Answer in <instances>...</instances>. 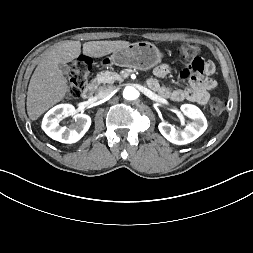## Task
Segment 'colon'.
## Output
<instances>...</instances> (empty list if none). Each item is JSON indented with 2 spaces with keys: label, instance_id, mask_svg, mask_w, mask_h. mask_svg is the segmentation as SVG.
<instances>
[{
  "label": "colon",
  "instance_id": "1",
  "mask_svg": "<svg viewBox=\"0 0 253 253\" xmlns=\"http://www.w3.org/2000/svg\"><path fill=\"white\" fill-rule=\"evenodd\" d=\"M201 47L198 44H184L179 48V55L184 65L189 64L195 57H200ZM92 73V61L87 56L76 59L67 78V96L71 99L78 98L89 82ZM210 113L219 117L225 109L224 102L213 98L209 104Z\"/></svg>",
  "mask_w": 253,
  "mask_h": 253
}]
</instances>
